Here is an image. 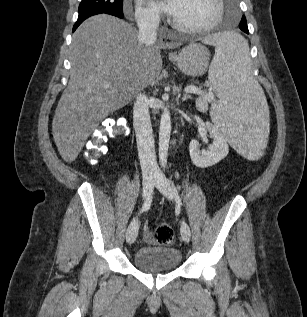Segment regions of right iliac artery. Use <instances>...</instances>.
<instances>
[{"instance_id":"82829eb1","label":"right iliac artery","mask_w":307,"mask_h":317,"mask_svg":"<svg viewBox=\"0 0 307 317\" xmlns=\"http://www.w3.org/2000/svg\"><path fill=\"white\" fill-rule=\"evenodd\" d=\"M152 198H153V196H152V192H151V194L147 197L146 201L144 202L140 213L147 211L150 208Z\"/></svg>"}]
</instances>
